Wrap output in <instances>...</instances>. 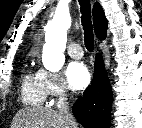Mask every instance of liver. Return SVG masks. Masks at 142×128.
<instances>
[{
	"instance_id": "1",
	"label": "liver",
	"mask_w": 142,
	"mask_h": 128,
	"mask_svg": "<svg viewBox=\"0 0 142 128\" xmlns=\"http://www.w3.org/2000/svg\"><path fill=\"white\" fill-rule=\"evenodd\" d=\"M64 116L48 107H26L18 111L12 128H72Z\"/></svg>"
}]
</instances>
